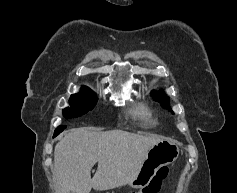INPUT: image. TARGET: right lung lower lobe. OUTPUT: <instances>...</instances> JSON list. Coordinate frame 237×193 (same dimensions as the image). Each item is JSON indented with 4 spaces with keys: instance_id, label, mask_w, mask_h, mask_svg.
I'll return each instance as SVG.
<instances>
[{
    "instance_id": "98d812e1",
    "label": "right lung lower lobe",
    "mask_w": 237,
    "mask_h": 193,
    "mask_svg": "<svg viewBox=\"0 0 237 193\" xmlns=\"http://www.w3.org/2000/svg\"><path fill=\"white\" fill-rule=\"evenodd\" d=\"M65 128H66V126H62V125L59 126V127L55 130L53 137L57 136V135H58L59 133H61Z\"/></svg>"
}]
</instances>
